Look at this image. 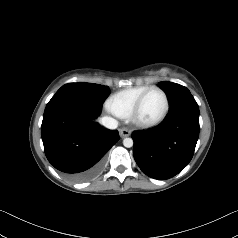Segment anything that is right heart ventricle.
Returning a JSON list of instances; mask_svg holds the SVG:
<instances>
[{
    "instance_id": "obj_1",
    "label": "right heart ventricle",
    "mask_w": 238,
    "mask_h": 238,
    "mask_svg": "<svg viewBox=\"0 0 238 238\" xmlns=\"http://www.w3.org/2000/svg\"><path fill=\"white\" fill-rule=\"evenodd\" d=\"M149 87L141 85L120 90L109 98V102L119 117H129L135 102Z\"/></svg>"
}]
</instances>
